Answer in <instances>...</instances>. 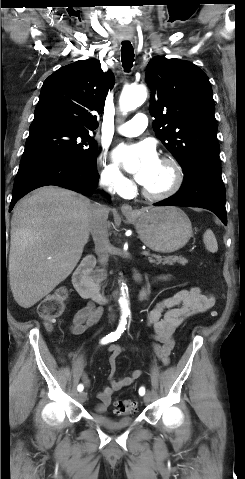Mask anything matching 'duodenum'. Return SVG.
Listing matches in <instances>:
<instances>
[{"label":"duodenum","instance_id":"1","mask_svg":"<svg viewBox=\"0 0 245 479\" xmlns=\"http://www.w3.org/2000/svg\"><path fill=\"white\" fill-rule=\"evenodd\" d=\"M95 265V258L92 255H87L74 271L73 285L82 297L104 303L107 300L105 294L102 293L98 283L90 276Z\"/></svg>","mask_w":245,"mask_h":479}]
</instances>
